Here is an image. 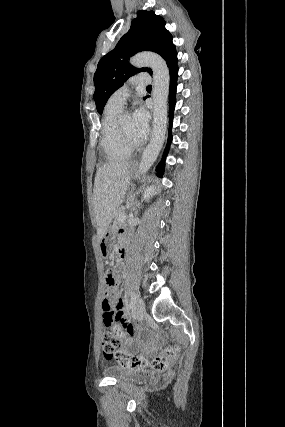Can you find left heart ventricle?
<instances>
[{
  "instance_id": "obj_1",
  "label": "left heart ventricle",
  "mask_w": 285,
  "mask_h": 427,
  "mask_svg": "<svg viewBox=\"0 0 285 427\" xmlns=\"http://www.w3.org/2000/svg\"><path fill=\"white\" fill-rule=\"evenodd\" d=\"M122 125L125 133L132 141H138L133 130L132 117L129 114H125L122 118Z\"/></svg>"
}]
</instances>
